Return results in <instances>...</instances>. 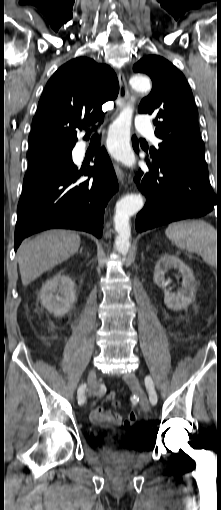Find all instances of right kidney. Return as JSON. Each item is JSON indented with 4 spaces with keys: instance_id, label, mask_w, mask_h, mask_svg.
<instances>
[{
    "instance_id": "1",
    "label": "right kidney",
    "mask_w": 221,
    "mask_h": 510,
    "mask_svg": "<svg viewBox=\"0 0 221 510\" xmlns=\"http://www.w3.org/2000/svg\"><path fill=\"white\" fill-rule=\"evenodd\" d=\"M40 300L54 316H64L76 300L74 282L62 272L57 273L43 284Z\"/></svg>"
}]
</instances>
